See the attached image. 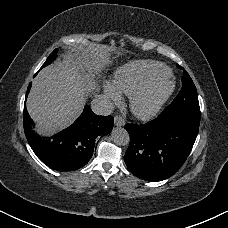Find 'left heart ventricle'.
I'll return each instance as SVG.
<instances>
[{"label":"left heart ventricle","mask_w":228,"mask_h":228,"mask_svg":"<svg viewBox=\"0 0 228 228\" xmlns=\"http://www.w3.org/2000/svg\"><path fill=\"white\" fill-rule=\"evenodd\" d=\"M159 94H160V92L153 93V94L149 97L148 101H150V100L156 98Z\"/></svg>","instance_id":"1"}]
</instances>
